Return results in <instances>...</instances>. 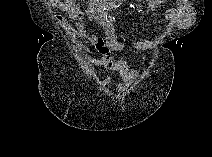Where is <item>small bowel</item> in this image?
Wrapping results in <instances>:
<instances>
[{
  "mask_svg": "<svg viewBox=\"0 0 212 157\" xmlns=\"http://www.w3.org/2000/svg\"><path fill=\"white\" fill-rule=\"evenodd\" d=\"M122 0L89 1L81 5L74 0H49L48 5L54 9L64 12L69 19L75 23L71 25L63 17L57 16V21L69 32L72 38L83 37L90 42L100 54L99 58L88 57L91 64L102 66L112 74L117 75L121 82L119 89L128 88L134 80L141 76L138 69L130 68L126 61L118 55L125 49L146 50L155 45L152 40L135 41L130 43L121 42L114 27L113 13L122 7ZM136 8L141 7L140 2L135 3ZM166 19L177 25L187 22V5L180 2L168 8L165 12ZM97 25L103 36L91 33L88 24ZM113 77L107 76L101 81L102 87H108Z\"/></svg>",
  "mask_w": 212,
  "mask_h": 157,
  "instance_id": "small-bowel-1",
  "label": "small bowel"
}]
</instances>
